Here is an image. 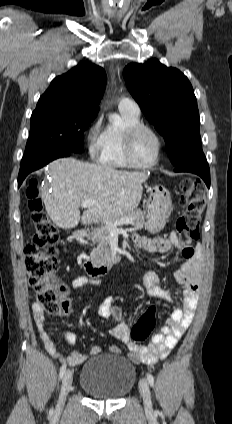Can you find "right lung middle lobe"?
I'll return each mask as SVG.
<instances>
[{"mask_svg": "<svg viewBox=\"0 0 232 424\" xmlns=\"http://www.w3.org/2000/svg\"><path fill=\"white\" fill-rule=\"evenodd\" d=\"M95 117L94 114L73 107L35 109L21 163L46 152L82 153L84 131Z\"/></svg>", "mask_w": 232, "mask_h": 424, "instance_id": "1", "label": "right lung middle lobe"}]
</instances>
